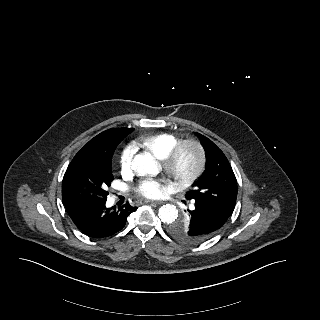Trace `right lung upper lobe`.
I'll return each instance as SVG.
<instances>
[{"mask_svg": "<svg viewBox=\"0 0 320 320\" xmlns=\"http://www.w3.org/2000/svg\"><path fill=\"white\" fill-rule=\"evenodd\" d=\"M133 128H111L108 129L93 139H91L75 156V158H87L92 155L105 154L108 152V148L112 144L120 143L128 134H130Z\"/></svg>", "mask_w": 320, "mask_h": 320, "instance_id": "right-lung-upper-lobe-1", "label": "right lung upper lobe"}]
</instances>
